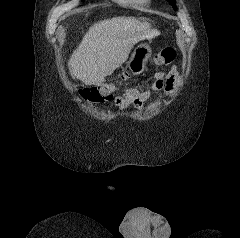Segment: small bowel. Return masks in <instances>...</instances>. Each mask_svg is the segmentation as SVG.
Wrapping results in <instances>:
<instances>
[{"mask_svg":"<svg viewBox=\"0 0 240 238\" xmlns=\"http://www.w3.org/2000/svg\"><path fill=\"white\" fill-rule=\"evenodd\" d=\"M178 78L179 73L177 67L172 66L168 73H156L146 79L141 86L127 89L123 95L115 98L114 105L119 110H123L129 106L141 109L146 100L150 97L151 92L165 91L167 94H170Z\"/></svg>","mask_w":240,"mask_h":238,"instance_id":"1","label":"small bowel"}]
</instances>
